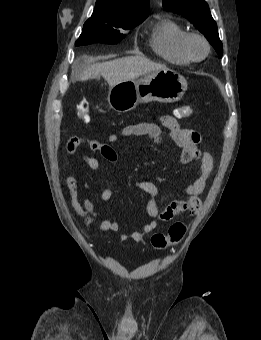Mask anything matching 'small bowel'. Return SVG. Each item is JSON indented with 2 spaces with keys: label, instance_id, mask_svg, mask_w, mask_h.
Segmentation results:
<instances>
[{
  "label": "small bowel",
  "instance_id": "obj_1",
  "mask_svg": "<svg viewBox=\"0 0 261 340\" xmlns=\"http://www.w3.org/2000/svg\"><path fill=\"white\" fill-rule=\"evenodd\" d=\"M176 116L164 115L157 122H144L134 125H129L123 128L120 134L112 133L107 137V143H101L98 140L86 138L83 136H73L66 144V150L70 154H75L82 145H86L90 150L99 152L104 159L109 162L116 163L118 154L111 144L118 141L119 137L131 136H147L157 144H165V136L172 143L181 149V162L183 164L192 161L199 162V174L186 187V200H176L170 203L164 209H160L157 203L159 191L154 183L148 180H140L137 182L138 188L149 196L147 203V213L154 220L144 225L140 230L132 233L121 232V241L133 240L139 242L147 234L152 233L158 226V222H170L176 219L183 213L196 214L200 211L202 202L200 195L203 193L206 181L213 169V159L210 153L202 151L199 148L200 136L192 129L183 128L177 121ZM88 166L94 171L101 170L100 161L90 156L86 159ZM66 183L71 193V205L74 212L84 217L87 213H94L95 207L92 202L85 199L80 200L79 185L77 180L68 175ZM112 197V190L109 180H105V188L101 193V199L107 201ZM84 224L87 227L95 226L102 231L120 232V225L115 221L105 219L100 223L92 217H85Z\"/></svg>",
  "mask_w": 261,
  "mask_h": 340
}]
</instances>
